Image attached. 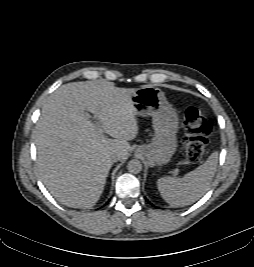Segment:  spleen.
Masks as SVG:
<instances>
[{
	"label": "spleen",
	"mask_w": 254,
	"mask_h": 267,
	"mask_svg": "<svg viewBox=\"0 0 254 267\" xmlns=\"http://www.w3.org/2000/svg\"><path fill=\"white\" fill-rule=\"evenodd\" d=\"M218 153H212L204 164L182 178L162 177L157 181L162 198L173 207L190 205L200 199L210 187L215 176Z\"/></svg>",
	"instance_id": "obj_1"
}]
</instances>
